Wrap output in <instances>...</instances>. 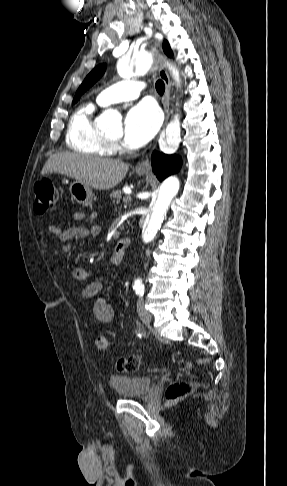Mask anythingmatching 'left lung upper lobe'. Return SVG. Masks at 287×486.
I'll return each mask as SVG.
<instances>
[{
    "label": "left lung upper lobe",
    "mask_w": 287,
    "mask_h": 486,
    "mask_svg": "<svg viewBox=\"0 0 287 486\" xmlns=\"http://www.w3.org/2000/svg\"><path fill=\"white\" fill-rule=\"evenodd\" d=\"M163 50L166 53V55H168L170 57L173 55L172 50H171L169 43L167 41H164V43H163ZM105 70H106V65L100 64V65L96 66L87 75V77L84 79L83 83L80 85V87L78 88V90L75 94V97H74L73 102H72L73 104H75L79 100L81 95L85 91H87L96 81H98L102 77Z\"/></svg>",
    "instance_id": "5c2ea615"
}]
</instances>
